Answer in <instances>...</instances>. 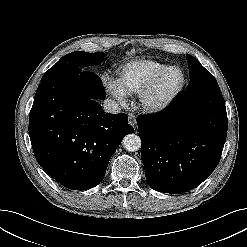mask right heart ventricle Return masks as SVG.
<instances>
[{"label":"right heart ventricle","mask_w":247,"mask_h":247,"mask_svg":"<svg viewBox=\"0 0 247 247\" xmlns=\"http://www.w3.org/2000/svg\"><path fill=\"white\" fill-rule=\"evenodd\" d=\"M168 67L154 60L133 61L121 68L115 84L123 93L139 94L160 71Z\"/></svg>","instance_id":"obj_1"}]
</instances>
